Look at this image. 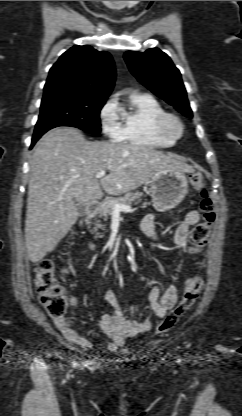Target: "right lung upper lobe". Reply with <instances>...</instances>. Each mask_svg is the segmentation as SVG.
<instances>
[{
    "mask_svg": "<svg viewBox=\"0 0 242 416\" xmlns=\"http://www.w3.org/2000/svg\"><path fill=\"white\" fill-rule=\"evenodd\" d=\"M115 66L108 52L73 46L63 53L49 71L44 97L64 94L107 98L115 81Z\"/></svg>",
    "mask_w": 242,
    "mask_h": 416,
    "instance_id": "cb5924a9",
    "label": "right lung upper lobe"
}]
</instances>
